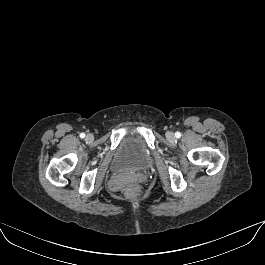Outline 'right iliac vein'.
I'll return each instance as SVG.
<instances>
[{"mask_svg":"<svg viewBox=\"0 0 265 265\" xmlns=\"http://www.w3.org/2000/svg\"><path fill=\"white\" fill-rule=\"evenodd\" d=\"M94 140V136H93V134H88L87 136H86V141H88V142H92Z\"/></svg>","mask_w":265,"mask_h":265,"instance_id":"obj_1","label":"right iliac vein"}]
</instances>
